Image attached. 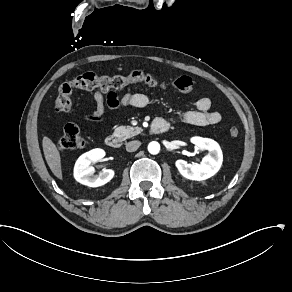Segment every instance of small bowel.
Here are the masks:
<instances>
[{"mask_svg": "<svg viewBox=\"0 0 292 292\" xmlns=\"http://www.w3.org/2000/svg\"><path fill=\"white\" fill-rule=\"evenodd\" d=\"M92 98L94 109L84 113V119L93 123H103L107 109L114 111L126 107L144 108L149 103L148 96L139 92H128L120 96L116 91L104 92L96 89L92 93ZM211 107L212 102L209 98H200L197 101L196 109L187 111L183 115V120L199 126L218 124L222 116Z\"/></svg>", "mask_w": 292, "mask_h": 292, "instance_id": "small-bowel-1", "label": "small bowel"}]
</instances>
